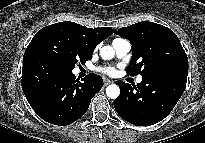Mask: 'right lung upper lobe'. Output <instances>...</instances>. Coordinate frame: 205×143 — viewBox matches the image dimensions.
<instances>
[{
    "label": "right lung upper lobe",
    "instance_id": "right-lung-upper-lobe-1",
    "mask_svg": "<svg viewBox=\"0 0 205 143\" xmlns=\"http://www.w3.org/2000/svg\"><path fill=\"white\" fill-rule=\"evenodd\" d=\"M73 30H75L85 42L93 49L99 44L103 39L113 34L116 30L111 28H87L85 26L79 25L71 21L62 22Z\"/></svg>",
    "mask_w": 205,
    "mask_h": 143
}]
</instances>
